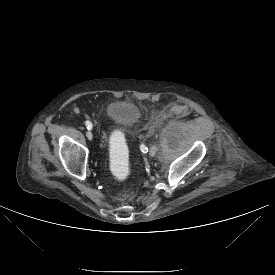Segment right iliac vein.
<instances>
[{"label":"right iliac vein","instance_id":"63e3f726","mask_svg":"<svg viewBox=\"0 0 275 275\" xmlns=\"http://www.w3.org/2000/svg\"><path fill=\"white\" fill-rule=\"evenodd\" d=\"M86 136H87V138H88L89 140H92V139H93V135H92V133H91L90 131H87V132H86Z\"/></svg>","mask_w":275,"mask_h":275}]
</instances>
